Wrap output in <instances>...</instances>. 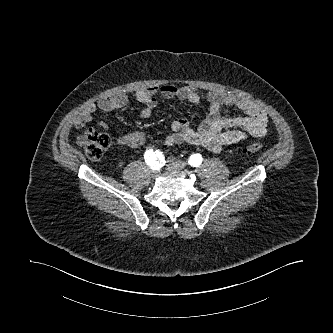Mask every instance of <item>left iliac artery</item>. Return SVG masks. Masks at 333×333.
<instances>
[{"instance_id": "left-iliac-artery-1", "label": "left iliac artery", "mask_w": 333, "mask_h": 333, "mask_svg": "<svg viewBox=\"0 0 333 333\" xmlns=\"http://www.w3.org/2000/svg\"><path fill=\"white\" fill-rule=\"evenodd\" d=\"M202 160L203 158L200 154H193L189 157L188 164L197 167L202 163Z\"/></svg>"}]
</instances>
